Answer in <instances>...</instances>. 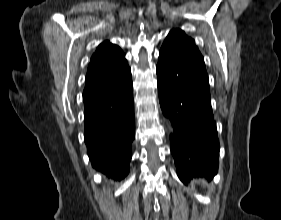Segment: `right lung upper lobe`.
Listing matches in <instances>:
<instances>
[{
  "label": "right lung upper lobe",
  "mask_w": 281,
  "mask_h": 220,
  "mask_svg": "<svg viewBox=\"0 0 281 220\" xmlns=\"http://www.w3.org/2000/svg\"><path fill=\"white\" fill-rule=\"evenodd\" d=\"M124 56L118 46L101 43L91 58L83 94L115 89L129 80L131 70Z\"/></svg>",
  "instance_id": "cb5924a9"
}]
</instances>
